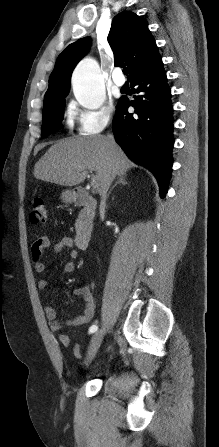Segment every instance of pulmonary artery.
<instances>
[{"label":"pulmonary artery","instance_id":"pulmonary-artery-1","mask_svg":"<svg viewBox=\"0 0 219 447\" xmlns=\"http://www.w3.org/2000/svg\"><path fill=\"white\" fill-rule=\"evenodd\" d=\"M113 83L117 86V87H122L125 83V79L122 75L121 69L120 68H116L113 72Z\"/></svg>","mask_w":219,"mask_h":447}]
</instances>
